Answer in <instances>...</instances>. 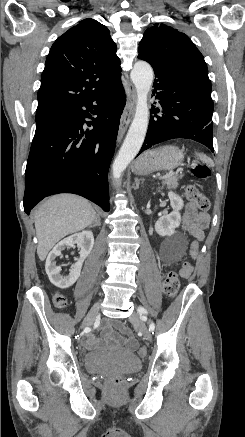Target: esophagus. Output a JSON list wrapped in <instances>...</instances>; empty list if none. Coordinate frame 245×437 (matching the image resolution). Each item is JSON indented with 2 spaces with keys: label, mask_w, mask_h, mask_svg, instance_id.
I'll return each mask as SVG.
<instances>
[{
  "label": "esophagus",
  "mask_w": 245,
  "mask_h": 437,
  "mask_svg": "<svg viewBox=\"0 0 245 437\" xmlns=\"http://www.w3.org/2000/svg\"><path fill=\"white\" fill-rule=\"evenodd\" d=\"M136 90L133 86L128 88V102L121 115L120 125L118 130L117 141L119 142L123 137L127 127L129 126L135 108Z\"/></svg>",
  "instance_id": "34e87169"
}]
</instances>
